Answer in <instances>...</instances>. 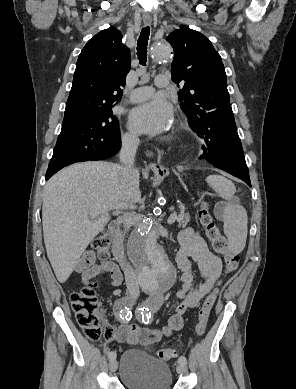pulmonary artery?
I'll return each mask as SVG.
<instances>
[{"mask_svg": "<svg viewBox=\"0 0 296 389\" xmlns=\"http://www.w3.org/2000/svg\"><path fill=\"white\" fill-rule=\"evenodd\" d=\"M155 85L158 88L166 87L168 85V78L165 75H158L155 78ZM153 93H154L153 87L143 86V87H139V88H136L135 90H133L132 93L130 94L129 99L131 102H134V103L141 102V101H144V100L148 99L149 97H151Z\"/></svg>", "mask_w": 296, "mask_h": 389, "instance_id": "1", "label": "pulmonary artery"}]
</instances>
